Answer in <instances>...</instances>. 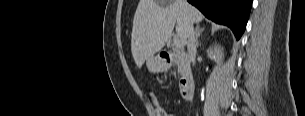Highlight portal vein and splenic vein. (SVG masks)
I'll list each match as a JSON object with an SVG mask.
<instances>
[{
  "mask_svg": "<svg viewBox=\"0 0 305 116\" xmlns=\"http://www.w3.org/2000/svg\"><path fill=\"white\" fill-rule=\"evenodd\" d=\"M173 44H174V46L176 48H180L181 47V41H180L179 37H175L174 38Z\"/></svg>",
  "mask_w": 305,
  "mask_h": 116,
  "instance_id": "obj_1",
  "label": "portal vein and splenic vein"
}]
</instances>
